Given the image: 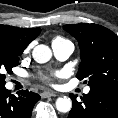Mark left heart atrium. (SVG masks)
<instances>
[{"instance_id":"obj_1","label":"left heart atrium","mask_w":118,"mask_h":118,"mask_svg":"<svg viewBox=\"0 0 118 118\" xmlns=\"http://www.w3.org/2000/svg\"><path fill=\"white\" fill-rule=\"evenodd\" d=\"M41 78H42L44 81H50V80H51V76L48 75V74L42 75Z\"/></svg>"}]
</instances>
